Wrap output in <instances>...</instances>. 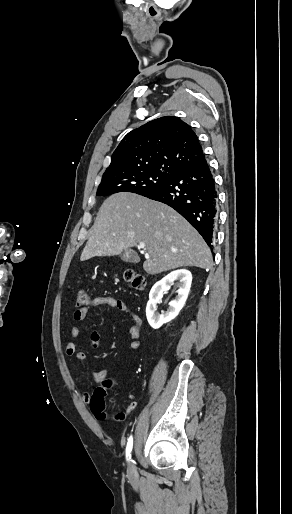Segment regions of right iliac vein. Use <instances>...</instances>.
<instances>
[{"instance_id":"obj_1","label":"right iliac vein","mask_w":292,"mask_h":514,"mask_svg":"<svg viewBox=\"0 0 292 514\" xmlns=\"http://www.w3.org/2000/svg\"><path fill=\"white\" fill-rule=\"evenodd\" d=\"M127 475L130 478H133L136 475V467H135L134 461L132 459L130 460L129 465H128Z\"/></svg>"}]
</instances>
